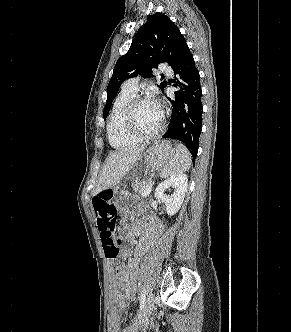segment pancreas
<instances>
[{"label": "pancreas", "mask_w": 291, "mask_h": 332, "mask_svg": "<svg viewBox=\"0 0 291 332\" xmlns=\"http://www.w3.org/2000/svg\"><path fill=\"white\" fill-rule=\"evenodd\" d=\"M152 183V180L151 179H148V180H145V181H142V182H135L132 184V189L140 194V195H143L146 191V189L149 187V185Z\"/></svg>", "instance_id": "obj_1"}]
</instances>
